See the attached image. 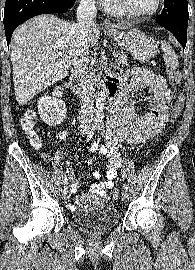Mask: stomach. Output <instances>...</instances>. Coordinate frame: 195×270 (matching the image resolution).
Here are the masks:
<instances>
[{
  "instance_id": "0dacf381",
  "label": "stomach",
  "mask_w": 195,
  "mask_h": 270,
  "mask_svg": "<svg viewBox=\"0 0 195 270\" xmlns=\"http://www.w3.org/2000/svg\"><path fill=\"white\" fill-rule=\"evenodd\" d=\"M106 32L122 49L140 61L152 59L158 51L157 42L137 28L126 29L116 26L114 30H106Z\"/></svg>"
}]
</instances>
